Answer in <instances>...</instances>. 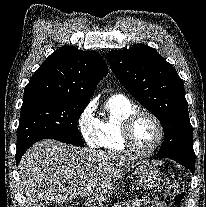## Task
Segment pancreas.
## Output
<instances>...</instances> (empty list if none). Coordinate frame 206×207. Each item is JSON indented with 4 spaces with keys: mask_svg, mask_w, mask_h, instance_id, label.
<instances>
[{
    "mask_svg": "<svg viewBox=\"0 0 206 207\" xmlns=\"http://www.w3.org/2000/svg\"><path fill=\"white\" fill-rule=\"evenodd\" d=\"M133 205H134L133 201H125V202L117 203L114 207H134Z\"/></svg>",
    "mask_w": 206,
    "mask_h": 207,
    "instance_id": "obj_1",
    "label": "pancreas"
}]
</instances>
